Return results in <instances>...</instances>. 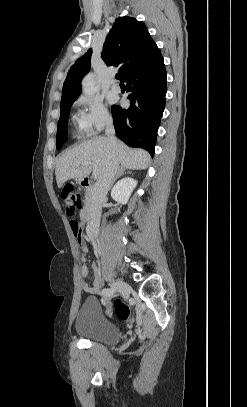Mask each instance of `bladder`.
Wrapping results in <instances>:
<instances>
[{"mask_svg":"<svg viewBox=\"0 0 247 407\" xmlns=\"http://www.w3.org/2000/svg\"><path fill=\"white\" fill-rule=\"evenodd\" d=\"M76 332L84 339L113 346L120 341V328L104 318L99 301L87 298L81 305L75 323Z\"/></svg>","mask_w":247,"mask_h":407,"instance_id":"obj_1","label":"bladder"}]
</instances>
